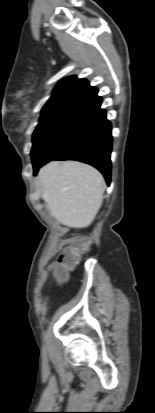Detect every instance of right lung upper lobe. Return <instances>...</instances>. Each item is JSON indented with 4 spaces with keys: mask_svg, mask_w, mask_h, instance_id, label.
Masks as SVG:
<instances>
[{
    "mask_svg": "<svg viewBox=\"0 0 155 413\" xmlns=\"http://www.w3.org/2000/svg\"><path fill=\"white\" fill-rule=\"evenodd\" d=\"M98 93L87 80L75 76L62 80L54 89L52 96L42 108L41 116L49 112L69 107L79 106Z\"/></svg>",
    "mask_w": 155,
    "mask_h": 413,
    "instance_id": "right-lung-upper-lobe-1",
    "label": "right lung upper lobe"
}]
</instances>
